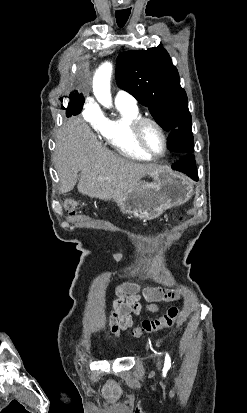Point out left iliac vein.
<instances>
[{
	"label": "left iliac vein",
	"instance_id": "4c4485c4",
	"mask_svg": "<svg viewBox=\"0 0 247 413\" xmlns=\"http://www.w3.org/2000/svg\"><path fill=\"white\" fill-rule=\"evenodd\" d=\"M156 366H157L158 369H161V367H162L160 356H158L157 359H156Z\"/></svg>",
	"mask_w": 247,
	"mask_h": 413
}]
</instances>
